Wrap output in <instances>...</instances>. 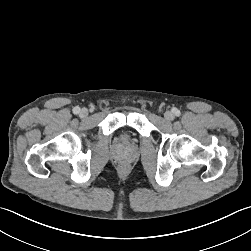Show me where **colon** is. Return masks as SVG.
<instances>
[{"label": "colon", "mask_w": 251, "mask_h": 251, "mask_svg": "<svg viewBox=\"0 0 251 251\" xmlns=\"http://www.w3.org/2000/svg\"><path fill=\"white\" fill-rule=\"evenodd\" d=\"M126 168H127V167H126L125 164H122V165H121V169H122V170H125Z\"/></svg>", "instance_id": "5ec220e1"}]
</instances>
